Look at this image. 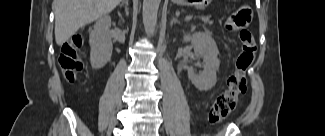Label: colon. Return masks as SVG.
<instances>
[{"mask_svg": "<svg viewBox=\"0 0 325 136\" xmlns=\"http://www.w3.org/2000/svg\"><path fill=\"white\" fill-rule=\"evenodd\" d=\"M250 20V13L247 9L239 10L233 18L234 25L240 29L239 39L241 52L236 62L235 72L227 80V88L220 93L209 111V122L218 124L235 107L238 97L246 92L247 71L252 65L255 53L256 42L252 33L247 29ZM82 46L81 37L62 46L59 63L67 81H73L83 65L79 57V50Z\"/></svg>", "mask_w": 325, "mask_h": 136, "instance_id": "obj_1", "label": "colon"}]
</instances>
